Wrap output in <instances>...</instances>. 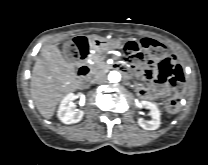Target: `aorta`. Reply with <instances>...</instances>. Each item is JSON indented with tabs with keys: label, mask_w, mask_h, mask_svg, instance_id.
Segmentation results:
<instances>
[{
	"label": "aorta",
	"mask_w": 208,
	"mask_h": 165,
	"mask_svg": "<svg viewBox=\"0 0 208 165\" xmlns=\"http://www.w3.org/2000/svg\"><path fill=\"white\" fill-rule=\"evenodd\" d=\"M108 80L111 83H118L121 80V75L118 71H111L108 75Z\"/></svg>",
	"instance_id": "1"
}]
</instances>
